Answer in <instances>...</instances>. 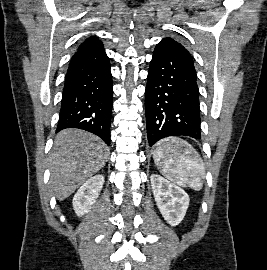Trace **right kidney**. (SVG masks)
I'll use <instances>...</instances> for the list:
<instances>
[{"mask_svg":"<svg viewBox=\"0 0 267 270\" xmlns=\"http://www.w3.org/2000/svg\"><path fill=\"white\" fill-rule=\"evenodd\" d=\"M103 184L104 176L96 175L89 178L78 189L72 201L73 209L78 216H83L90 211L100 194Z\"/></svg>","mask_w":267,"mask_h":270,"instance_id":"1","label":"right kidney"}]
</instances>
